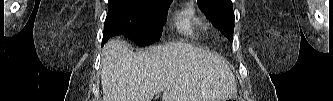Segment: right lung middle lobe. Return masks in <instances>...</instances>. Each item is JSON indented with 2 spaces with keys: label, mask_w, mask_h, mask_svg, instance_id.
<instances>
[{
  "label": "right lung middle lobe",
  "mask_w": 333,
  "mask_h": 101,
  "mask_svg": "<svg viewBox=\"0 0 333 101\" xmlns=\"http://www.w3.org/2000/svg\"><path fill=\"white\" fill-rule=\"evenodd\" d=\"M172 0H109L106 40L124 35L148 46L161 37Z\"/></svg>",
  "instance_id": "obj_1"
}]
</instances>
